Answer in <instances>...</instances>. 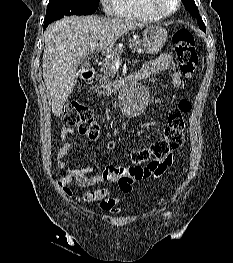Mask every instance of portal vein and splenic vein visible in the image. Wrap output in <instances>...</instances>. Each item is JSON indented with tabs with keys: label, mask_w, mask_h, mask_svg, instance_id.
<instances>
[{
	"label": "portal vein and splenic vein",
	"mask_w": 233,
	"mask_h": 263,
	"mask_svg": "<svg viewBox=\"0 0 233 263\" xmlns=\"http://www.w3.org/2000/svg\"><path fill=\"white\" fill-rule=\"evenodd\" d=\"M96 46H97V42H92L91 45H90V51L91 52L94 51ZM137 52L138 53H143V51L141 49H137ZM119 65H120V61L118 60V61L112 63L111 66H112L113 69H117L119 67Z\"/></svg>",
	"instance_id": "portal-vein-and-splenic-vein-1"
}]
</instances>
